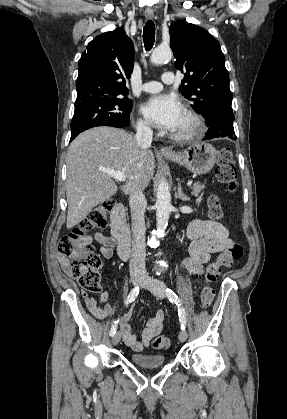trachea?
<instances>
[{
    "label": "trachea",
    "instance_id": "obj_1",
    "mask_svg": "<svg viewBox=\"0 0 287 419\" xmlns=\"http://www.w3.org/2000/svg\"><path fill=\"white\" fill-rule=\"evenodd\" d=\"M143 42L147 51L153 47L155 42V25L151 20H148L143 28Z\"/></svg>",
    "mask_w": 287,
    "mask_h": 419
}]
</instances>
